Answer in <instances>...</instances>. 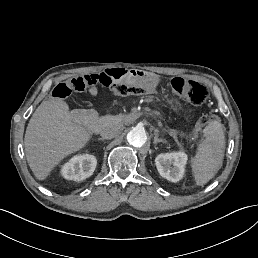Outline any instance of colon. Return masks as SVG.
Listing matches in <instances>:
<instances>
[{"instance_id": "obj_1", "label": "colon", "mask_w": 258, "mask_h": 258, "mask_svg": "<svg viewBox=\"0 0 258 258\" xmlns=\"http://www.w3.org/2000/svg\"><path fill=\"white\" fill-rule=\"evenodd\" d=\"M98 84L105 85L98 74L77 76L56 85L53 89V96L56 98H65L72 91L83 92L91 88H96ZM106 86L121 96L145 95L149 93L148 89L137 81H126ZM171 86L179 96L194 105L203 104L208 98V90L205 85L191 79L173 78ZM216 119L217 117L214 115H205L199 119L198 125L204 126Z\"/></svg>"}]
</instances>
